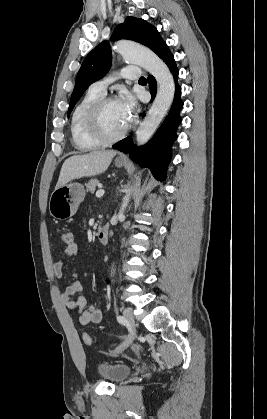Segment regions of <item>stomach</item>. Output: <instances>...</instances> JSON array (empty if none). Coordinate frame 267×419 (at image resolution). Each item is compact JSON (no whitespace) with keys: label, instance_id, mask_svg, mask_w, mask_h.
I'll return each mask as SVG.
<instances>
[{"label":"stomach","instance_id":"1","mask_svg":"<svg viewBox=\"0 0 267 419\" xmlns=\"http://www.w3.org/2000/svg\"><path fill=\"white\" fill-rule=\"evenodd\" d=\"M117 167H122L125 162L115 160ZM85 198V190L80 183H68L61 187L55 188L50 196L49 212L51 216L58 220H64L72 217L79 204Z\"/></svg>","mask_w":267,"mask_h":419}]
</instances>
